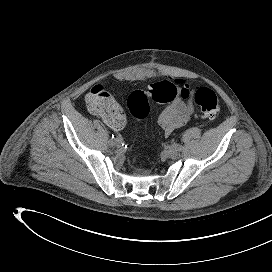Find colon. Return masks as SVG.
Here are the masks:
<instances>
[{"label":"colon","mask_w":272,"mask_h":272,"mask_svg":"<svg viewBox=\"0 0 272 272\" xmlns=\"http://www.w3.org/2000/svg\"><path fill=\"white\" fill-rule=\"evenodd\" d=\"M192 99L196 107L206 118L213 119L220 112V102L216 93L206 86L183 85L180 89L168 80L152 84L147 90L132 92L127 106L133 117L145 119L149 114V101L169 103L177 97ZM112 96L101 85L93 87L87 96L89 108L99 115L106 114L111 105ZM145 155V154H144Z\"/></svg>","instance_id":"colon-1"}]
</instances>
